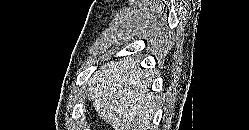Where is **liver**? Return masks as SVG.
<instances>
[{"instance_id": "obj_1", "label": "liver", "mask_w": 249, "mask_h": 130, "mask_svg": "<svg viewBox=\"0 0 249 130\" xmlns=\"http://www.w3.org/2000/svg\"><path fill=\"white\" fill-rule=\"evenodd\" d=\"M150 74L132 58L110 61L88 81L95 110L114 130H147L156 111Z\"/></svg>"}]
</instances>
